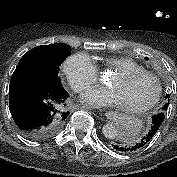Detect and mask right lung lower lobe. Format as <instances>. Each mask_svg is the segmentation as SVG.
Listing matches in <instances>:
<instances>
[{
    "mask_svg": "<svg viewBox=\"0 0 177 177\" xmlns=\"http://www.w3.org/2000/svg\"><path fill=\"white\" fill-rule=\"evenodd\" d=\"M64 88L34 82H10L9 108L23 135L41 140L56 135L69 115Z\"/></svg>",
    "mask_w": 177,
    "mask_h": 177,
    "instance_id": "1",
    "label": "right lung lower lobe"
}]
</instances>
